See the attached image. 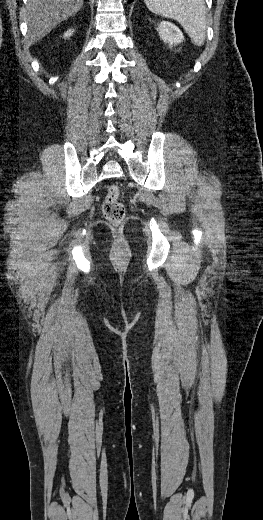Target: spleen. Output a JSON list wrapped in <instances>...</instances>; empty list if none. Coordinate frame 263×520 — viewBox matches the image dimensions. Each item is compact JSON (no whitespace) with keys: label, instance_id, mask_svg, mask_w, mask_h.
Segmentation results:
<instances>
[{"label":"spleen","instance_id":"1","mask_svg":"<svg viewBox=\"0 0 263 520\" xmlns=\"http://www.w3.org/2000/svg\"><path fill=\"white\" fill-rule=\"evenodd\" d=\"M144 2L151 12L178 21L194 45L204 44L207 27L204 0H144Z\"/></svg>","mask_w":263,"mask_h":520}]
</instances>
